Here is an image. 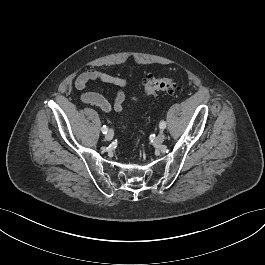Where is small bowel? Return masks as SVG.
<instances>
[{"mask_svg": "<svg viewBox=\"0 0 265 265\" xmlns=\"http://www.w3.org/2000/svg\"><path fill=\"white\" fill-rule=\"evenodd\" d=\"M92 81H100L103 83L111 84L119 88L114 98L113 103L109 102L106 98L95 92H85L81 95V101L85 104L93 105L100 108L104 112H111L112 110L120 112L125 107L126 88L128 82L125 78L112 75L101 70H88L80 74L75 80V87L78 90L86 88L88 83Z\"/></svg>", "mask_w": 265, "mask_h": 265, "instance_id": "obj_1", "label": "small bowel"}]
</instances>
